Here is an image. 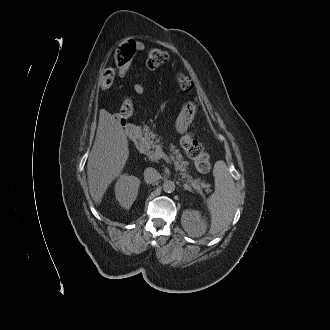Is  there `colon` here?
Returning a JSON list of instances; mask_svg holds the SVG:
<instances>
[{
  "label": "colon",
  "instance_id": "1",
  "mask_svg": "<svg viewBox=\"0 0 330 330\" xmlns=\"http://www.w3.org/2000/svg\"><path fill=\"white\" fill-rule=\"evenodd\" d=\"M136 52L135 44L133 41H128L118 47L114 53V60L118 67H123L132 62L133 56ZM168 61V54L166 51L152 47L146 53V66L149 69H156ZM115 78V72L111 68L103 70L101 73L100 86L103 89L109 88ZM176 80L179 87L189 92L192 87V81L189 77L182 73H176ZM123 108L128 112L129 117L133 111V103L131 98L127 97L122 103ZM118 117L119 113H118ZM125 119V118H124ZM182 147L187 156L194 162L196 169L200 173H207L211 168V161L208 153L205 151L204 146L194 136L193 133L186 134L181 140Z\"/></svg>",
  "mask_w": 330,
  "mask_h": 330
}]
</instances>
